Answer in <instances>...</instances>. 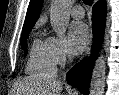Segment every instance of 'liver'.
Here are the masks:
<instances>
[{"mask_svg": "<svg viewBox=\"0 0 119 95\" xmlns=\"http://www.w3.org/2000/svg\"><path fill=\"white\" fill-rule=\"evenodd\" d=\"M19 87L27 93L31 88L35 95H61L63 83L54 77L39 76L36 79H29L20 82Z\"/></svg>", "mask_w": 119, "mask_h": 95, "instance_id": "obj_1", "label": "liver"}]
</instances>
